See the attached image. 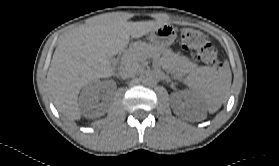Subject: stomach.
Returning a JSON list of instances; mask_svg holds the SVG:
<instances>
[{
	"instance_id": "0dacf381",
	"label": "stomach",
	"mask_w": 279,
	"mask_h": 166,
	"mask_svg": "<svg viewBox=\"0 0 279 166\" xmlns=\"http://www.w3.org/2000/svg\"><path fill=\"white\" fill-rule=\"evenodd\" d=\"M176 31L171 24H164L150 32L149 39L157 46L167 47L176 39Z\"/></svg>"
}]
</instances>
